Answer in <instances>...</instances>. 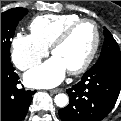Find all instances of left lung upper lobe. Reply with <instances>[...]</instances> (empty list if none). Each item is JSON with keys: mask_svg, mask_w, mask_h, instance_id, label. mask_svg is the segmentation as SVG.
<instances>
[{"mask_svg": "<svg viewBox=\"0 0 121 121\" xmlns=\"http://www.w3.org/2000/svg\"><path fill=\"white\" fill-rule=\"evenodd\" d=\"M104 36L105 39L101 54L97 63L94 66L110 62L121 63V52L118 44L106 28H104Z\"/></svg>", "mask_w": 121, "mask_h": 121, "instance_id": "obj_1", "label": "left lung upper lobe"}]
</instances>
